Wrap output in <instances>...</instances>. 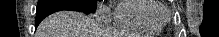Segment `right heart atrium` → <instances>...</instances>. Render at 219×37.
Masks as SVG:
<instances>
[{"instance_id":"d8ad5b80","label":"right heart atrium","mask_w":219,"mask_h":37,"mask_svg":"<svg viewBox=\"0 0 219 37\" xmlns=\"http://www.w3.org/2000/svg\"><path fill=\"white\" fill-rule=\"evenodd\" d=\"M96 16L99 19H102L104 21H108L109 17H110V11L103 3H99L97 10H96Z\"/></svg>"}]
</instances>
